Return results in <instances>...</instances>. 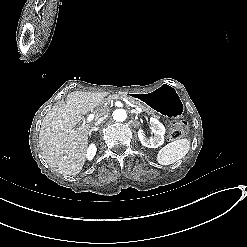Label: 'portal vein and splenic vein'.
Returning <instances> with one entry per match:
<instances>
[{
    "label": "portal vein and splenic vein",
    "instance_id": "obj_1",
    "mask_svg": "<svg viewBox=\"0 0 247 247\" xmlns=\"http://www.w3.org/2000/svg\"><path fill=\"white\" fill-rule=\"evenodd\" d=\"M125 104H129V106H133V103H130V101H128V100H125ZM134 109H135V110H138V111H141V108L138 107V106H134ZM96 115H97V112H94V113H93V112H90V113L88 114L87 122L92 121L93 118H94Z\"/></svg>",
    "mask_w": 247,
    "mask_h": 247
}]
</instances>
